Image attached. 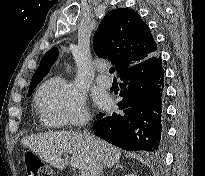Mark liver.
Returning <instances> with one entry per match:
<instances>
[{"instance_id": "obj_1", "label": "liver", "mask_w": 205, "mask_h": 176, "mask_svg": "<svg viewBox=\"0 0 205 176\" xmlns=\"http://www.w3.org/2000/svg\"><path fill=\"white\" fill-rule=\"evenodd\" d=\"M94 139L96 147H92L80 133L55 131L26 136L21 143L57 169L65 168L62 155L69 153L72 167L87 171L90 176H99L103 167H112L119 162L121 150L106 141Z\"/></svg>"}]
</instances>
